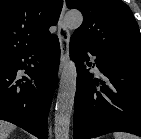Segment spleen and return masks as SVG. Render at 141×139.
I'll use <instances>...</instances> for the list:
<instances>
[{
  "instance_id": "obj_1",
  "label": "spleen",
  "mask_w": 141,
  "mask_h": 139,
  "mask_svg": "<svg viewBox=\"0 0 141 139\" xmlns=\"http://www.w3.org/2000/svg\"><path fill=\"white\" fill-rule=\"evenodd\" d=\"M114 139H139V138L132 134L118 132L114 134Z\"/></svg>"
}]
</instances>
